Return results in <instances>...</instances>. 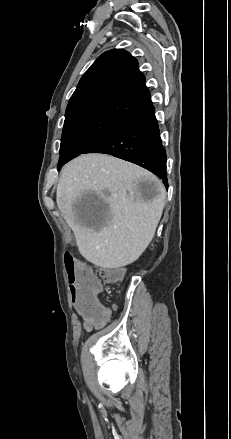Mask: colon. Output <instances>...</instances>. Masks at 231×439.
Segmentation results:
<instances>
[{"mask_svg":"<svg viewBox=\"0 0 231 439\" xmlns=\"http://www.w3.org/2000/svg\"><path fill=\"white\" fill-rule=\"evenodd\" d=\"M65 267L73 296V304L69 306L70 313H83L86 320L106 319L107 308L98 298L100 288L94 275L79 267L69 253L65 255ZM101 276L105 282L113 283L122 278L123 272L120 269H103Z\"/></svg>","mask_w":231,"mask_h":439,"instance_id":"colon-1","label":"colon"}]
</instances>
